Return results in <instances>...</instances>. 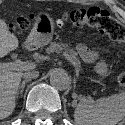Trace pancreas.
Returning a JSON list of instances; mask_svg holds the SVG:
<instances>
[{"instance_id":"cf45deb5","label":"pancreas","mask_w":125,"mask_h":125,"mask_svg":"<svg viewBox=\"0 0 125 125\" xmlns=\"http://www.w3.org/2000/svg\"><path fill=\"white\" fill-rule=\"evenodd\" d=\"M46 51L47 53H60L62 51L66 52L77 66L80 67L81 65L80 59L77 57V53L73 49H70V47L65 43L52 42Z\"/></svg>"}]
</instances>
